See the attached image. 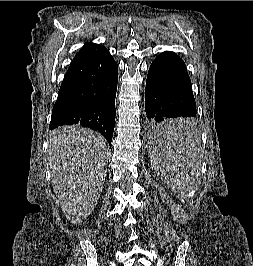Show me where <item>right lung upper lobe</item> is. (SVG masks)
I'll list each match as a JSON object with an SVG mask.
<instances>
[{
    "label": "right lung upper lobe",
    "instance_id": "1",
    "mask_svg": "<svg viewBox=\"0 0 253 266\" xmlns=\"http://www.w3.org/2000/svg\"><path fill=\"white\" fill-rule=\"evenodd\" d=\"M104 48L102 45L94 44V43H88L82 47V49L77 53V55L74 57L72 63L81 61L85 58L90 57L93 55L96 51Z\"/></svg>",
    "mask_w": 253,
    "mask_h": 266
}]
</instances>
